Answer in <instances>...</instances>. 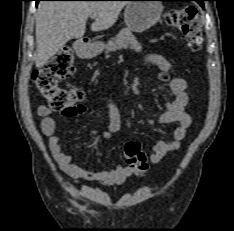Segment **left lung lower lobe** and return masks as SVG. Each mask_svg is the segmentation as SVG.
<instances>
[{"label":"left lung lower lobe","mask_w":234,"mask_h":231,"mask_svg":"<svg viewBox=\"0 0 234 231\" xmlns=\"http://www.w3.org/2000/svg\"><path fill=\"white\" fill-rule=\"evenodd\" d=\"M186 1H196V2H198V3L200 4V6H201L202 8H204L203 1H207V0H186Z\"/></svg>","instance_id":"obj_1"}]
</instances>
